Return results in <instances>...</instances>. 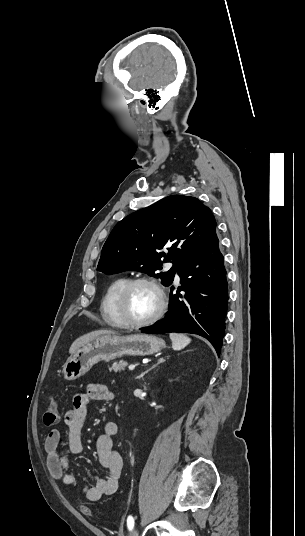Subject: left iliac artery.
<instances>
[{
    "label": "left iliac artery",
    "instance_id": "1",
    "mask_svg": "<svg viewBox=\"0 0 305 536\" xmlns=\"http://www.w3.org/2000/svg\"><path fill=\"white\" fill-rule=\"evenodd\" d=\"M127 526H128V529H129V530H132V529H133V527H134V519H133L132 516H129V517L127 518Z\"/></svg>",
    "mask_w": 305,
    "mask_h": 536
}]
</instances>
